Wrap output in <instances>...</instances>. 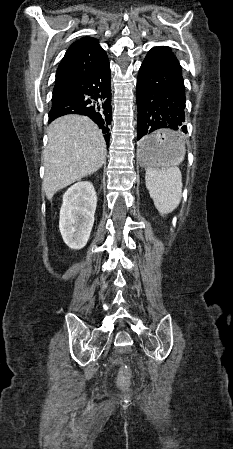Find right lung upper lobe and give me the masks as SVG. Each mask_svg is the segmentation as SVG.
Returning a JSON list of instances; mask_svg holds the SVG:
<instances>
[{"label": "right lung upper lobe", "instance_id": "1", "mask_svg": "<svg viewBox=\"0 0 233 449\" xmlns=\"http://www.w3.org/2000/svg\"><path fill=\"white\" fill-rule=\"evenodd\" d=\"M107 61V54L97 39L82 37L69 47L59 64L54 90L64 89L77 82Z\"/></svg>", "mask_w": 233, "mask_h": 449}]
</instances>
